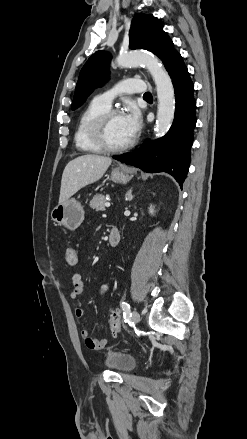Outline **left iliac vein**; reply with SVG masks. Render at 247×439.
Returning <instances> with one entry per match:
<instances>
[{"label":"left iliac vein","instance_id":"left-iliac-vein-1","mask_svg":"<svg viewBox=\"0 0 247 439\" xmlns=\"http://www.w3.org/2000/svg\"><path fill=\"white\" fill-rule=\"evenodd\" d=\"M139 321H140V314L136 310H134L132 313V322L134 324H137Z\"/></svg>","mask_w":247,"mask_h":439}]
</instances>
